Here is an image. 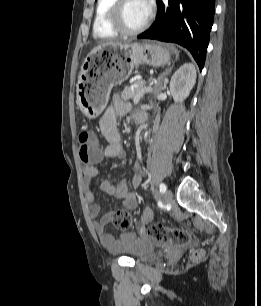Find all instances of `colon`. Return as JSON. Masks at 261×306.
<instances>
[{
    "label": "colon",
    "instance_id": "5ec220e1",
    "mask_svg": "<svg viewBox=\"0 0 261 306\" xmlns=\"http://www.w3.org/2000/svg\"><path fill=\"white\" fill-rule=\"evenodd\" d=\"M79 157L83 165L96 162L100 159L102 150L99 142L94 138L91 131L83 130L78 136ZM111 222L116 229L129 230L133 227L131 214L125 210H115L111 214ZM144 233L151 239L169 243L174 247H185L192 243V235L189 231L165 226L160 223L148 225ZM201 255L195 252L194 257Z\"/></svg>",
    "mask_w": 261,
    "mask_h": 306
}]
</instances>
